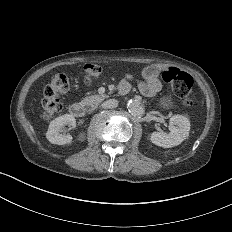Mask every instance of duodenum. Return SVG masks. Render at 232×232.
<instances>
[{
    "mask_svg": "<svg viewBox=\"0 0 232 232\" xmlns=\"http://www.w3.org/2000/svg\"><path fill=\"white\" fill-rule=\"evenodd\" d=\"M69 112H70V114L72 116H74L76 118H81L85 114V109H84V107L81 104H79V103H73L69 107Z\"/></svg>",
    "mask_w": 232,
    "mask_h": 232,
    "instance_id": "duodenum-1",
    "label": "duodenum"
}]
</instances>
